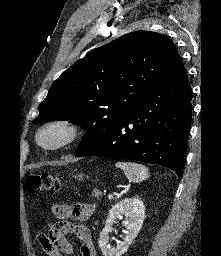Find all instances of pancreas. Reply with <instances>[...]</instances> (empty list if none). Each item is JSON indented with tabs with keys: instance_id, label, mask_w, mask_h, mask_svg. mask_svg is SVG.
<instances>
[{
	"instance_id": "1",
	"label": "pancreas",
	"mask_w": 221,
	"mask_h": 256,
	"mask_svg": "<svg viewBox=\"0 0 221 256\" xmlns=\"http://www.w3.org/2000/svg\"><path fill=\"white\" fill-rule=\"evenodd\" d=\"M102 195V193L98 189H94L92 192V196L96 199H99V197Z\"/></svg>"
}]
</instances>
